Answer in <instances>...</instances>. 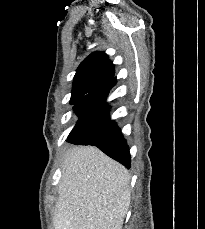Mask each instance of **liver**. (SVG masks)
Wrapping results in <instances>:
<instances>
[{"mask_svg": "<svg viewBox=\"0 0 205 229\" xmlns=\"http://www.w3.org/2000/svg\"><path fill=\"white\" fill-rule=\"evenodd\" d=\"M129 184L127 169L98 148L73 147L62 163L54 229H122Z\"/></svg>", "mask_w": 205, "mask_h": 229, "instance_id": "obj_1", "label": "liver"}]
</instances>
